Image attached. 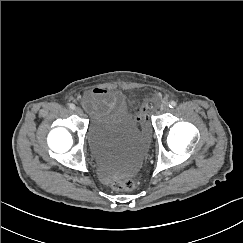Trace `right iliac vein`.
<instances>
[{"label": "right iliac vein", "mask_w": 243, "mask_h": 243, "mask_svg": "<svg viewBox=\"0 0 243 243\" xmlns=\"http://www.w3.org/2000/svg\"><path fill=\"white\" fill-rule=\"evenodd\" d=\"M75 113H76L77 115H79V116H82V115H83V111H82L81 108H76V109H75Z\"/></svg>", "instance_id": "1"}]
</instances>
